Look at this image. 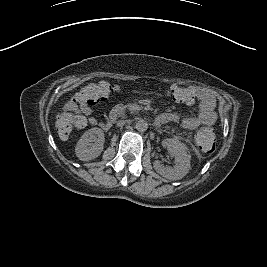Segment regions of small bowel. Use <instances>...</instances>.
I'll list each match as a JSON object with an SVG mask.
<instances>
[{
    "mask_svg": "<svg viewBox=\"0 0 267 267\" xmlns=\"http://www.w3.org/2000/svg\"><path fill=\"white\" fill-rule=\"evenodd\" d=\"M186 90L190 99L186 105H191L198 102V111L195 117H186L181 119L182 125L189 130H193L199 126L210 127L214 125L217 120V114L215 112V97L214 94L203 87H188L182 88ZM64 110L73 114L76 118H83L85 122L83 124L76 123L78 127L85 125L96 126L99 125L102 128H106L103 122H100L96 117L91 116L93 113V107L91 104H81L76 99H69L64 105ZM178 118L174 114L165 113L160 117V123H168L176 121Z\"/></svg>",
    "mask_w": 267,
    "mask_h": 267,
    "instance_id": "obj_1",
    "label": "small bowel"
}]
</instances>
